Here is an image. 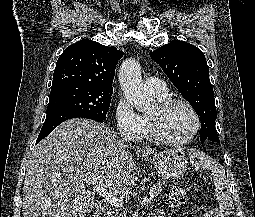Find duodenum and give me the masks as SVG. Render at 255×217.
Returning a JSON list of instances; mask_svg holds the SVG:
<instances>
[{
	"instance_id": "410a0bca",
	"label": "duodenum",
	"mask_w": 255,
	"mask_h": 217,
	"mask_svg": "<svg viewBox=\"0 0 255 217\" xmlns=\"http://www.w3.org/2000/svg\"><path fill=\"white\" fill-rule=\"evenodd\" d=\"M91 217H106V212L104 209L97 210L94 212Z\"/></svg>"
}]
</instances>
